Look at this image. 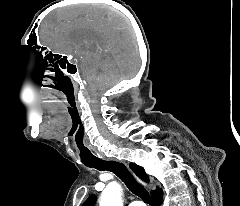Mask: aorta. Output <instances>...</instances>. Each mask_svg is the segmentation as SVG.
<instances>
[{
	"label": "aorta",
	"instance_id": "aorta-1",
	"mask_svg": "<svg viewBox=\"0 0 240 206\" xmlns=\"http://www.w3.org/2000/svg\"><path fill=\"white\" fill-rule=\"evenodd\" d=\"M122 187L117 182H112L103 190L100 197V206H123Z\"/></svg>",
	"mask_w": 240,
	"mask_h": 206
}]
</instances>
